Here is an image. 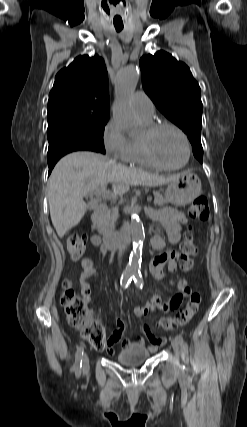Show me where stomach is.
<instances>
[{
  "instance_id": "obj_1",
  "label": "stomach",
  "mask_w": 247,
  "mask_h": 427,
  "mask_svg": "<svg viewBox=\"0 0 247 427\" xmlns=\"http://www.w3.org/2000/svg\"><path fill=\"white\" fill-rule=\"evenodd\" d=\"M202 191L199 177L192 171H185L177 175L166 189V200L176 206H185L192 203Z\"/></svg>"
}]
</instances>
